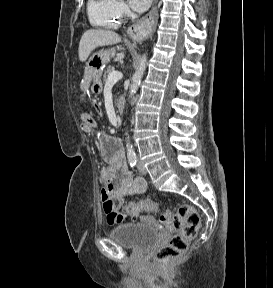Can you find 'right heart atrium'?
I'll return each instance as SVG.
<instances>
[{
    "instance_id": "d8ad5b80",
    "label": "right heart atrium",
    "mask_w": 273,
    "mask_h": 288,
    "mask_svg": "<svg viewBox=\"0 0 273 288\" xmlns=\"http://www.w3.org/2000/svg\"><path fill=\"white\" fill-rule=\"evenodd\" d=\"M115 7L121 17L127 16L129 13L128 7L123 0H115Z\"/></svg>"
}]
</instances>
